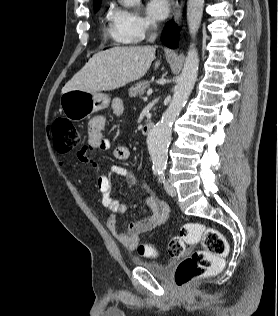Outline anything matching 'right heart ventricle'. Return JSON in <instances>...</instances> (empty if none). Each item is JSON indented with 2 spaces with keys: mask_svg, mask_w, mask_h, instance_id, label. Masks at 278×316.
I'll return each mask as SVG.
<instances>
[{
  "mask_svg": "<svg viewBox=\"0 0 278 316\" xmlns=\"http://www.w3.org/2000/svg\"><path fill=\"white\" fill-rule=\"evenodd\" d=\"M106 33L116 42H119V43H124V42H121L117 36H116V33H115V29H114V26H113V23H109L107 26H106Z\"/></svg>",
  "mask_w": 278,
  "mask_h": 316,
  "instance_id": "e07e8e85",
  "label": "right heart ventricle"
}]
</instances>
